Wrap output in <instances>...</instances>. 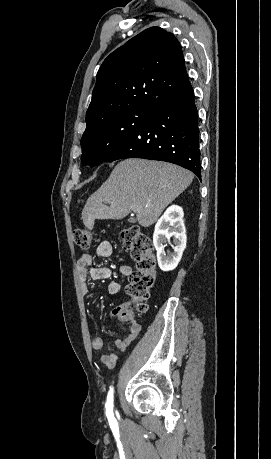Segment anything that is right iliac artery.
I'll return each instance as SVG.
<instances>
[{"label":"right iliac artery","instance_id":"obj_1","mask_svg":"<svg viewBox=\"0 0 271 459\" xmlns=\"http://www.w3.org/2000/svg\"><path fill=\"white\" fill-rule=\"evenodd\" d=\"M105 407H106V416L108 418L109 423L115 422L116 420L113 414V388H110Z\"/></svg>","mask_w":271,"mask_h":459}]
</instances>
